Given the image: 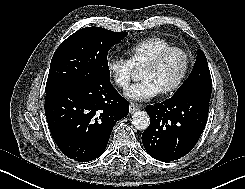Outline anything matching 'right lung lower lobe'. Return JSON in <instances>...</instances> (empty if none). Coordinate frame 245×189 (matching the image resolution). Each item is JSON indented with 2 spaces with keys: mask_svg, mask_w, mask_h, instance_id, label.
Instances as JSON below:
<instances>
[{
  "mask_svg": "<svg viewBox=\"0 0 245 189\" xmlns=\"http://www.w3.org/2000/svg\"><path fill=\"white\" fill-rule=\"evenodd\" d=\"M129 112V104L107 76L65 89L45 98L52 137L64 155L79 162L98 158L112 129Z\"/></svg>",
  "mask_w": 245,
  "mask_h": 189,
  "instance_id": "obj_1",
  "label": "right lung lower lobe"
}]
</instances>
